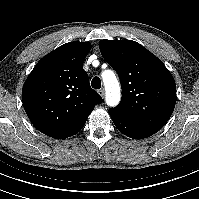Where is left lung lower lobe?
I'll return each instance as SVG.
<instances>
[{
    "label": "left lung lower lobe",
    "instance_id": "obj_1",
    "mask_svg": "<svg viewBox=\"0 0 199 199\" xmlns=\"http://www.w3.org/2000/svg\"><path fill=\"white\" fill-rule=\"evenodd\" d=\"M109 114L117 129L130 138L144 139L155 134V132L137 126L112 111H109Z\"/></svg>",
    "mask_w": 199,
    "mask_h": 199
}]
</instances>
